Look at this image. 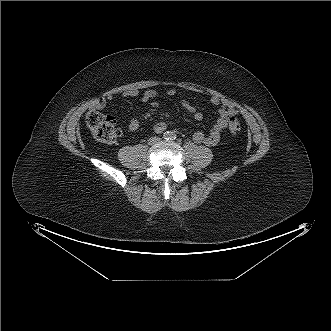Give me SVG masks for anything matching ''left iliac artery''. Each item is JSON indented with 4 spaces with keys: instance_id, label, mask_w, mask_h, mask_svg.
<instances>
[{
    "instance_id": "left-iliac-artery-1",
    "label": "left iliac artery",
    "mask_w": 331,
    "mask_h": 331,
    "mask_svg": "<svg viewBox=\"0 0 331 331\" xmlns=\"http://www.w3.org/2000/svg\"><path fill=\"white\" fill-rule=\"evenodd\" d=\"M170 138L171 139H176V134L172 133Z\"/></svg>"
}]
</instances>
